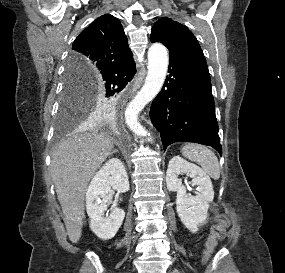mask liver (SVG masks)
Listing matches in <instances>:
<instances>
[{
  "label": "liver",
  "instance_id": "1",
  "mask_svg": "<svg viewBox=\"0 0 285 273\" xmlns=\"http://www.w3.org/2000/svg\"><path fill=\"white\" fill-rule=\"evenodd\" d=\"M87 128L88 122L57 144L51 158L52 180L73 243L81 237L88 183L114 148L113 138L104 133H80Z\"/></svg>",
  "mask_w": 285,
  "mask_h": 273
}]
</instances>
